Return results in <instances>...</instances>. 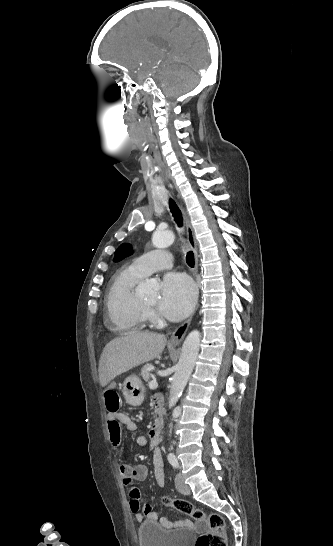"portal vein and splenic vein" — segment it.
<instances>
[{"label": "portal vein and splenic vein", "instance_id": "1", "mask_svg": "<svg viewBox=\"0 0 333 546\" xmlns=\"http://www.w3.org/2000/svg\"><path fill=\"white\" fill-rule=\"evenodd\" d=\"M157 386L158 385H157L156 380H152V381L149 382V388L150 389H155V388H157Z\"/></svg>", "mask_w": 333, "mask_h": 546}]
</instances>
